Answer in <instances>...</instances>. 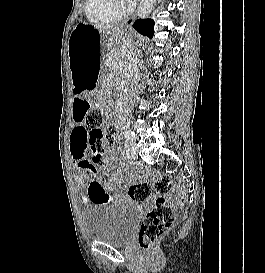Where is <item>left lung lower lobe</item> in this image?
Here are the masks:
<instances>
[{"instance_id":"left-lung-lower-lobe-1","label":"left lung lower lobe","mask_w":265,"mask_h":273,"mask_svg":"<svg viewBox=\"0 0 265 273\" xmlns=\"http://www.w3.org/2000/svg\"><path fill=\"white\" fill-rule=\"evenodd\" d=\"M134 29L139 33L153 38L154 35V21L151 19H138L133 24Z\"/></svg>"}]
</instances>
